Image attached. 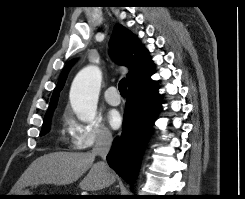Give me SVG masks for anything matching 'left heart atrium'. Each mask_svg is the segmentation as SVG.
Listing matches in <instances>:
<instances>
[{
  "instance_id": "left-heart-atrium-1",
  "label": "left heart atrium",
  "mask_w": 245,
  "mask_h": 199,
  "mask_svg": "<svg viewBox=\"0 0 245 199\" xmlns=\"http://www.w3.org/2000/svg\"><path fill=\"white\" fill-rule=\"evenodd\" d=\"M108 123L113 129H118L122 124V117L116 110H112L108 114Z\"/></svg>"
}]
</instances>
